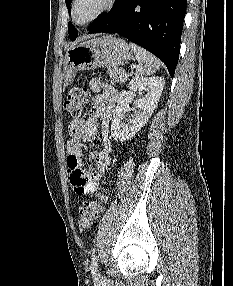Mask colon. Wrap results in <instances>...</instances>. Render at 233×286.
<instances>
[{
  "label": "colon",
  "mask_w": 233,
  "mask_h": 286,
  "mask_svg": "<svg viewBox=\"0 0 233 286\" xmlns=\"http://www.w3.org/2000/svg\"><path fill=\"white\" fill-rule=\"evenodd\" d=\"M89 100L86 88L75 87L71 89L64 102L65 110L74 118L80 117ZM108 190L102 189L94 199L84 201L78 209V224L82 232L89 230L94 221L103 211L108 198Z\"/></svg>",
  "instance_id": "1"
}]
</instances>
